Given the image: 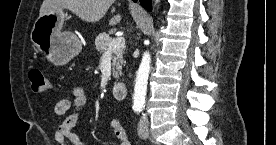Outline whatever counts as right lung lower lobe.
Masks as SVG:
<instances>
[{"label":"right lung lower lobe","mask_w":276,"mask_h":145,"mask_svg":"<svg viewBox=\"0 0 276 145\" xmlns=\"http://www.w3.org/2000/svg\"><path fill=\"white\" fill-rule=\"evenodd\" d=\"M133 1L136 2L137 0H133ZM139 1H140V4L142 7L151 11V9H152L151 0H139Z\"/></svg>","instance_id":"98d812e1"}]
</instances>
